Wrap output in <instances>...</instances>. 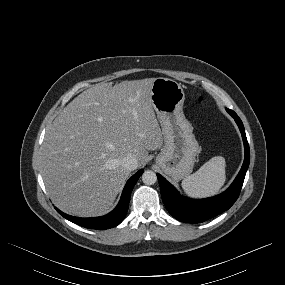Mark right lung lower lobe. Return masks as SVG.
Here are the masks:
<instances>
[{
    "mask_svg": "<svg viewBox=\"0 0 285 285\" xmlns=\"http://www.w3.org/2000/svg\"><path fill=\"white\" fill-rule=\"evenodd\" d=\"M143 172H144L143 169L139 170L135 175H133L128 180V182L126 183L124 187L119 204L112 212H110L109 214L105 216L95 217V218H78V217L67 215L61 212L57 208L56 210L67 220L73 223H76L80 226L86 227V228L109 229V228L115 227L118 224H120L125 218L127 210H128V206H129V200H130L132 189Z\"/></svg>",
    "mask_w": 285,
    "mask_h": 285,
    "instance_id": "obj_1",
    "label": "right lung lower lobe"
}]
</instances>
